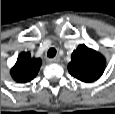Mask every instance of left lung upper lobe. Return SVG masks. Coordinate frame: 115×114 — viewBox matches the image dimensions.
Returning <instances> with one entry per match:
<instances>
[{
    "label": "left lung upper lobe",
    "instance_id": "5c2ea615",
    "mask_svg": "<svg viewBox=\"0 0 115 114\" xmlns=\"http://www.w3.org/2000/svg\"><path fill=\"white\" fill-rule=\"evenodd\" d=\"M71 57L72 60L68 65L69 73L80 81L93 82L104 72L105 58L84 44L79 45Z\"/></svg>",
    "mask_w": 115,
    "mask_h": 114
}]
</instances>
